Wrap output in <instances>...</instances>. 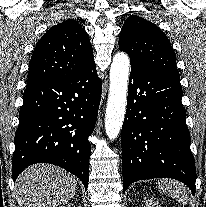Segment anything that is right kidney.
Instances as JSON below:
<instances>
[{
	"label": "right kidney",
	"instance_id": "obj_1",
	"mask_svg": "<svg viewBox=\"0 0 206 207\" xmlns=\"http://www.w3.org/2000/svg\"><path fill=\"white\" fill-rule=\"evenodd\" d=\"M66 207H71V205H68V206H66Z\"/></svg>",
	"mask_w": 206,
	"mask_h": 207
}]
</instances>
